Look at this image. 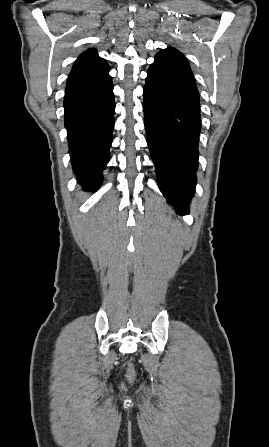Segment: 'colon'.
I'll list each match as a JSON object with an SVG mask.
<instances>
[{"mask_svg":"<svg viewBox=\"0 0 269 447\" xmlns=\"http://www.w3.org/2000/svg\"><path fill=\"white\" fill-rule=\"evenodd\" d=\"M127 378L133 379L134 378V369L130 362L127 364Z\"/></svg>","mask_w":269,"mask_h":447,"instance_id":"5ec220e1","label":"colon"}]
</instances>
